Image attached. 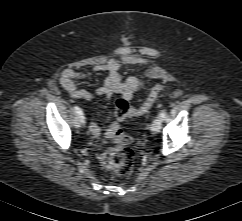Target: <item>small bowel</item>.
<instances>
[{"mask_svg": "<svg viewBox=\"0 0 242 221\" xmlns=\"http://www.w3.org/2000/svg\"><path fill=\"white\" fill-rule=\"evenodd\" d=\"M140 58L128 51H122L117 58H111L107 63L96 66L90 72H79L71 68H65L61 72L60 84L62 88L73 99H82L91 101L97 97L112 98L120 95L125 100H130L135 94L145 88V82L142 78L130 76L122 79L119 70L122 64H139ZM106 74L105 81L96 91L90 92L80 89L77 81L88 80L99 74ZM90 132L97 136L101 132V127L97 122H91Z\"/></svg>", "mask_w": 242, "mask_h": 221, "instance_id": "obj_1", "label": "small bowel"}]
</instances>
